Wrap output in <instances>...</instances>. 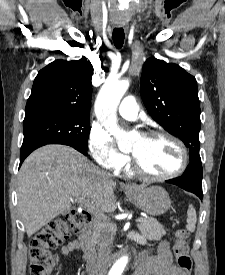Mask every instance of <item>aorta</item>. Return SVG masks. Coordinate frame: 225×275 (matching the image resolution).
I'll return each instance as SVG.
<instances>
[{
    "label": "aorta",
    "instance_id": "aorta-1",
    "mask_svg": "<svg viewBox=\"0 0 225 275\" xmlns=\"http://www.w3.org/2000/svg\"><path fill=\"white\" fill-rule=\"evenodd\" d=\"M129 87V80H111L108 79L99 91L95 102V112L102 125L116 137L118 146L122 149L124 146H130L132 137L124 132L117 124L116 111L119 102ZM128 257H121L112 266L109 275H122Z\"/></svg>",
    "mask_w": 225,
    "mask_h": 275
}]
</instances>
